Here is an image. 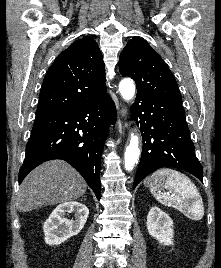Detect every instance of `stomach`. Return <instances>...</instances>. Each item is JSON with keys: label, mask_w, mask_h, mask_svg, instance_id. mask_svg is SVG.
Listing matches in <instances>:
<instances>
[{"label": "stomach", "mask_w": 221, "mask_h": 268, "mask_svg": "<svg viewBox=\"0 0 221 268\" xmlns=\"http://www.w3.org/2000/svg\"><path fill=\"white\" fill-rule=\"evenodd\" d=\"M162 181H163V180H162L161 178H158V179H157V182H158V183H159V182L161 183ZM150 184H151V180L148 179L147 181H145V185H146V186H149Z\"/></svg>", "instance_id": "0dacf381"}]
</instances>
